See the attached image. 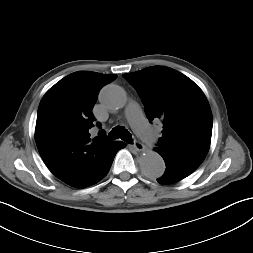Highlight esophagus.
I'll return each mask as SVG.
<instances>
[{
  "instance_id": "34e87169",
  "label": "esophagus",
  "mask_w": 253,
  "mask_h": 253,
  "mask_svg": "<svg viewBox=\"0 0 253 253\" xmlns=\"http://www.w3.org/2000/svg\"><path fill=\"white\" fill-rule=\"evenodd\" d=\"M133 148L138 151V152H141V151H144L145 147L144 145L139 142V141H135L134 144H133Z\"/></svg>"
}]
</instances>
